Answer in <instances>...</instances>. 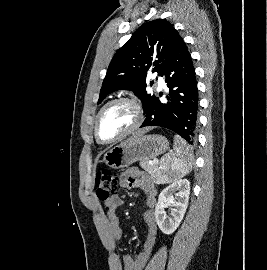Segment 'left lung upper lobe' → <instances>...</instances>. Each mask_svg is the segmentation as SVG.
Instances as JSON below:
<instances>
[{
    "label": "left lung upper lobe",
    "mask_w": 267,
    "mask_h": 270,
    "mask_svg": "<svg viewBox=\"0 0 267 270\" xmlns=\"http://www.w3.org/2000/svg\"><path fill=\"white\" fill-rule=\"evenodd\" d=\"M181 40L177 30L166 20L157 19L141 25L112 58L98 104L116 90H132L141 99L146 113L155 99V95L145 90L147 73L151 68L152 72L163 76Z\"/></svg>",
    "instance_id": "obj_1"
}]
</instances>
